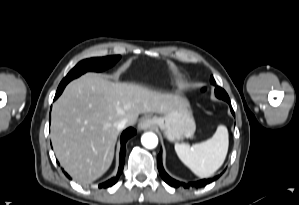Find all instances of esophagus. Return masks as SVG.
I'll return each mask as SVG.
<instances>
[{
	"label": "esophagus",
	"mask_w": 299,
	"mask_h": 205,
	"mask_svg": "<svg viewBox=\"0 0 299 205\" xmlns=\"http://www.w3.org/2000/svg\"><path fill=\"white\" fill-rule=\"evenodd\" d=\"M155 124H156V120L154 118L146 116L140 120V122L138 124V129L139 130H147V129L154 127Z\"/></svg>",
	"instance_id": "1"
}]
</instances>
